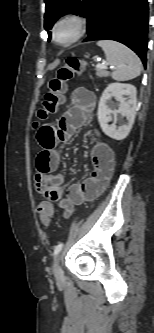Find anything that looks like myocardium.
Wrapping results in <instances>:
<instances>
[{"label":"myocardium","instance_id":"1","mask_svg":"<svg viewBox=\"0 0 154 333\" xmlns=\"http://www.w3.org/2000/svg\"><path fill=\"white\" fill-rule=\"evenodd\" d=\"M63 27L70 29L67 38H60V30ZM87 30V20L80 13H67L59 17L52 27V40L60 46H70L79 41Z\"/></svg>","mask_w":154,"mask_h":333}]
</instances>
